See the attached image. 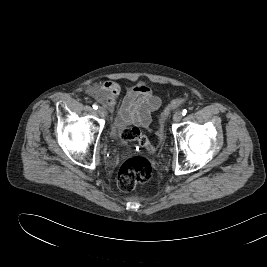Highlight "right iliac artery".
<instances>
[{
    "instance_id": "82829eb1",
    "label": "right iliac artery",
    "mask_w": 267,
    "mask_h": 267,
    "mask_svg": "<svg viewBox=\"0 0 267 267\" xmlns=\"http://www.w3.org/2000/svg\"><path fill=\"white\" fill-rule=\"evenodd\" d=\"M92 107H93L94 109H98V105H97L96 103H94V104L92 105Z\"/></svg>"
}]
</instances>
